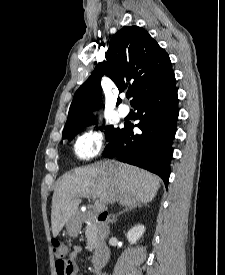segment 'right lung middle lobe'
I'll return each instance as SVG.
<instances>
[{"instance_id":"obj_1","label":"right lung middle lobe","mask_w":225,"mask_h":275,"mask_svg":"<svg viewBox=\"0 0 225 275\" xmlns=\"http://www.w3.org/2000/svg\"><path fill=\"white\" fill-rule=\"evenodd\" d=\"M90 122H95V119H84L80 122H77V123L72 124L70 126L64 127L62 138L63 139L67 138L69 140H72L74 138V136L78 132H80L85 125H87ZM105 129L107 130L106 131V136H107V140L109 142L113 138H115L119 134V132L121 131V129L114 128L113 126H107Z\"/></svg>"}]
</instances>
